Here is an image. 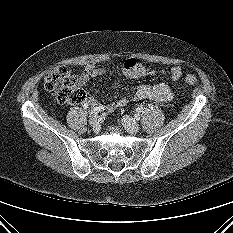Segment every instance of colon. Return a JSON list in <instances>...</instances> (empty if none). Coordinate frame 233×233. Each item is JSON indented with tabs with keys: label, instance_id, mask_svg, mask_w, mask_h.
I'll return each instance as SVG.
<instances>
[{
	"label": "colon",
	"instance_id": "1",
	"mask_svg": "<svg viewBox=\"0 0 233 233\" xmlns=\"http://www.w3.org/2000/svg\"><path fill=\"white\" fill-rule=\"evenodd\" d=\"M188 86L196 84L192 75L185 77ZM44 85L48 92L55 95L62 104H79L85 100L84 91L77 86L76 80L66 67H57L50 70L45 78Z\"/></svg>",
	"mask_w": 233,
	"mask_h": 233
}]
</instances>
